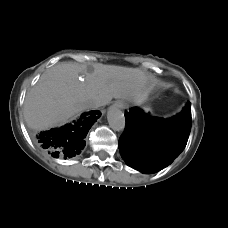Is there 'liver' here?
Instances as JSON below:
<instances>
[{
	"label": "liver",
	"mask_w": 228,
	"mask_h": 228,
	"mask_svg": "<svg viewBox=\"0 0 228 228\" xmlns=\"http://www.w3.org/2000/svg\"><path fill=\"white\" fill-rule=\"evenodd\" d=\"M154 85L152 76L139 68L97 64L89 73L78 63H59L43 73L28 92L24 117L29 127L42 130L89 109L87 101L104 106L115 98L141 104Z\"/></svg>",
	"instance_id": "1"
}]
</instances>
